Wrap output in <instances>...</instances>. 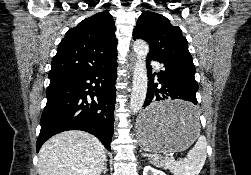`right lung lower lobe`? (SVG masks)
Here are the masks:
<instances>
[{
    "mask_svg": "<svg viewBox=\"0 0 251 175\" xmlns=\"http://www.w3.org/2000/svg\"><path fill=\"white\" fill-rule=\"evenodd\" d=\"M117 65L115 60L103 68L50 79L37 152L47 139L67 130L89 132L111 149Z\"/></svg>",
    "mask_w": 251,
    "mask_h": 175,
    "instance_id": "1",
    "label": "right lung lower lobe"
}]
</instances>
